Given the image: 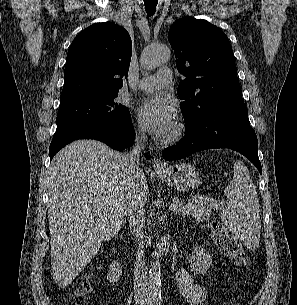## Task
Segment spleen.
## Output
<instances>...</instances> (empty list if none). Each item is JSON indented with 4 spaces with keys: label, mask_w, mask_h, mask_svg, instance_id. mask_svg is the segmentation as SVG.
Here are the masks:
<instances>
[{
    "label": "spleen",
    "mask_w": 297,
    "mask_h": 305,
    "mask_svg": "<svg viewBox=\"0 0 297 305\" xmlns=\"http://www.w3.org/2000/svg\"><path fill=\"white\" fill-rule=\"evenodd\" d=\"M227 206L221 213L225 226L249 249H256L260 241V207L255 185L243 162L234 163V176L225 188Z\"/></svg>",
    "instance_id": "3e777b00"
}]
</instances>
